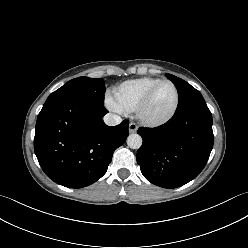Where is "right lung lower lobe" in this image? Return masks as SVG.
<instances>
[{"label":"right lung lower lobe","mask_w":248,"mask_h":248,"mask_svg":"<svg viewBox=\"0 0 248 248\" xmlns=\"http://www.w3.org/2000/svg\"><path fill=\"white\" fill-rule=\"evenodd\" d=\"M108 111L88 97L46 100L37 117L34 150L44 173L69 188L86 187L107 171L114 151L129 135V121L107 126Z\"/></svg>","instance_id":"right-lung-lower-lobe-1"}]
</instances>
